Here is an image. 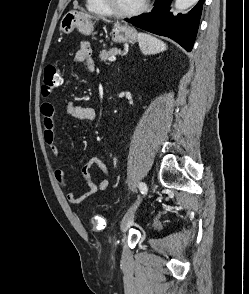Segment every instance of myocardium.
Returning <instances> with one entry per match:
<instances>
[{"label": "myocardium", "instance_id": "f54148a6", "mask_svg": "<svg viewBox=\"0 0 249 294\" xmlns=\"http://www.w3.org/2000/svg\"><path fill=\"white\" fill-rule=\"evenodd\" d=\"M104 7L107 9L109 15L119 17V18H127V17H133L136 15H139L143 13L149 5V0H143L141 5L135 9L129 10V11H122L118 10L112 3L111 0H101Z\"/></svg>", "mask_w": 249, "mask_h": 294}]
</instances>
